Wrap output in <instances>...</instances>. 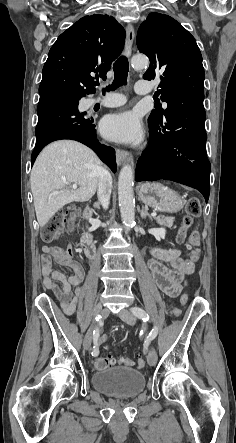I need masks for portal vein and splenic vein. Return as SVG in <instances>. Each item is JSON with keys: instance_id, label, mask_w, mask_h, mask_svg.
<instances>
[{"instance_id": "obj_1", "label": "portal vein and splenic vein", "mask_w": 236, "mask_h": 443, "mask_svg": "<svg viewBox=\"0 0 236 443\" xmlns=\"http://www.w3.org/2000/svg\"><path fill=\"white\" fill-rule=\"evenodd\" d=\"M67 184H69L71 188H73V189H77V184H70V183H67ZM151 216H152V217H156L157 214H156L155 212H153V213H151Z\"/></svg>"}]
</instances>
